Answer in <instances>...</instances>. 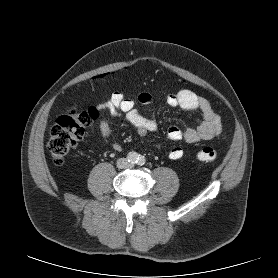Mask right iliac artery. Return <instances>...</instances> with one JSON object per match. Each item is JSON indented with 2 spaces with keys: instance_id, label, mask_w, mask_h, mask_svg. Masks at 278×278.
Here are the masks:
<instances>
[{
  "instance_id": "right-iliac-artery-1",
  "label": "right iliac artery",
  "mask_w": 278,
  "mask_h": 278,
  "mask_svg": "<svg viewBox=\"0 0 278 278\" xmlns=\"http://www.w3.org/2000/svg\"><path fill=\"white\" fill-rule=\"evenodd\" d=\"M139 155L136 152H130L127 156V159L131 163H137Z\"/></svg>"
}]
</instances>
